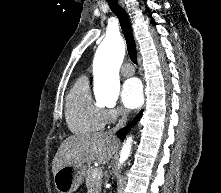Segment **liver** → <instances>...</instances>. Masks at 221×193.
Masks as SVG:
<instances>
[{
	"mask_svg": "<svg viewBox=\"0 0 221 193\" xmlns=\"http://www.w3.org/2000/svg\"><path fill=\"white\" fill-rule=\"evenodd\" d=\"M116 149L117 139L111 132L70 136L58 148L52 162V172L55 174L64 166H81L95 160L105 164L110 161Z\"/></svg>",
	"mask_w": 221,
	"mask_h": 193,
	"instance_id": "liver-1",
	"label": "liver"
}]
</instances>
